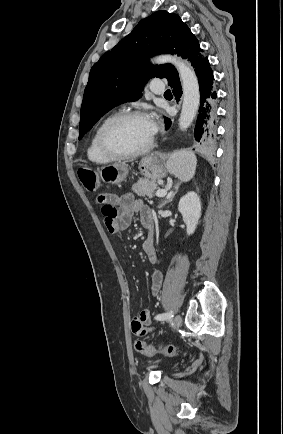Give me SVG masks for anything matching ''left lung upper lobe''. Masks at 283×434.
I'll use <instances>...</instances> for the list:
<instances>
[{
  "label": "left lung upper lobe",
  "mask_w": 283,
  "mask_h": 434,
  "mask_svg": "<svg viewBox=\"0 0 283 434\" xmlns=\"http://www.w3.org/2000/svg\"><path fill=\"white\" fill-rule=\"evenodd\" d=\"M165 53L187 59L193 68L207 58L181 18L161 10L142 19L93 65L81 106L79 139L115 106L138 100L150 78H166L170 86L179 82L173 65H152L148 60Z\"/></svg>",
  "instance_id": "left-lung-upper-lobe-1"
}]
</instances>
